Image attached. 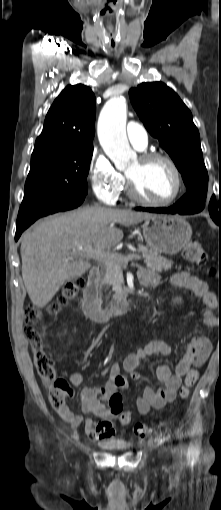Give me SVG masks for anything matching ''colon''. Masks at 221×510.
Returning a JSON list of instances; mask_svg holds the SVG:
<instances>
[{
	"label": "colon",
	"mask_w": 221,
	"mask_h": 510,
	"mask_svg": "<svg viewBox=\"0 0 221 510\" xmlns=\"http://www.w3.org/2000/svg\"><path fill=\"white\" fill-rule=\"evenodd\" d=\"M183 258L192 264L200 267L207 266L208 256L204 248L196 240L190 241L183 250ZM212 275H216L214 269L209 268ZM84 287V280L76 278L65 284L61 297L58 302L50 307L51 313H56L60 308L74 301ZM43 312L37 307H29L26 311V322L28 328L26 336L30 341L33 350V362L36 372L48 388V401L50 405L58 411L65 410L67 407V397L72 395L70 385L63 379L57 377L52 355L48 349L47 342L43 335L36 329V325L40 323ZM198 379V373L190 370L185 377L184 385L181 389V397L189 396L192 386ZM113 385L117 389H123L126 385V379L122 374L113 377ZM110 405L116 409L119 421L123 424H129L130 414L122 409V396L117 391L109 399ZM133 433L137 437H144L149 433L147 425L138 423L133 427Z\"/></svg>",
	"instance_id": "obj_1"
}]
</instances>
